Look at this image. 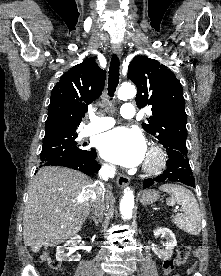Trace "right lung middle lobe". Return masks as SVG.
<instances>
[{
  "label": "right lung middle lobe",
  "instance_id": "obj_1",
  "mask_svg": "<svg viewBox=\"0 0 221 276\" xmlns=\"http://www.w3.org/2000/svg\"><path fill=\"white\" fill-rule=\"evenodd\" d=\"M76 132H54L45 134L40 154L42 162L69 157H85L93 149H85L84 145L76 142Z\"/></svg>",
  "mask_w": 221,
  "mask_h": 276
}]
</instances>
